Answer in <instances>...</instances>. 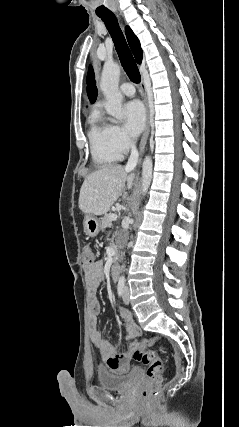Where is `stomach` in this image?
I'll list each match as a JSON object with an SVG mask.
<instances>
[{
  "label": "stomach",
  "instance_id": "1",
  "mask_svg": "<svg viewBox=\"0 0 239 427\" xmlns=\"http://www.w3.org/2000/svg\"><path fill=\"white\" fill-rule=\"evenodd\" d=\"M84 231L90 237H95L101 230V221L94 215L87 214L84 218Z\"/></svg>",
  "mask_w": 239,
  "mask_h": 427
}]
</instances>
